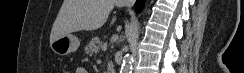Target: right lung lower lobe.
Segmentation results:
<instances>
[{
	"instance_id": "98d812e1",
	"label": "right lung lower lobe",
	"mask_w": 244,
	"mask_h": 73,
	"mask_svg": "<svg viewBox=\"0 0 244 73\" xmlns=\"http://www.w3.org/2000/svg\"><path fill=\"white\" fill-rule=\"evenodd\" d=\"M144 2L145 0H137L136 3H135V9L137 12H140L141 9L143 8L144 6Z\"/></svg>"
}]
</instances>
